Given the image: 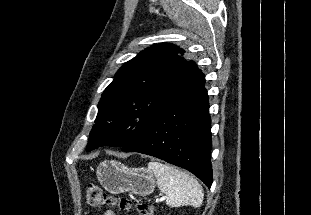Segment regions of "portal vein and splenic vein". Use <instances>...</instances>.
<instances>
[{"label":"portal vein and splenic vein","mask_w":311,"mask_h":215,"mask_svg":"<svg viewBox=\"0 0 311 215\" xmlns=\"http://www.w3.org/2000/svg\"><path fill=\"white\" fill-rule=\"evenodd\" d=\"M163 200H165V197H164V196H163V197L158 198L156 201H157V202H159V201H163Z\"/></svg>","instance_id":"1"}]
</instances>
